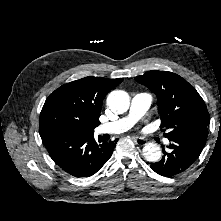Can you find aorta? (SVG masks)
<instances>
[{"label":"aorta","mask_w":221,"mask_h":221,"mask_svg":"<svg viewBox=\"0 0 221 221\" xmlns=\"http://www.w3.org/2000/svg\"><path fill=\"white\" fill-rule=\"evenodd\" d=\"M107 105L114 112L122 114L129 109L130 97L127 92L114 90L107 97ZM144 158L149 162H158L161 159V148L156 143H147L142 150Z\"/></svg>","instance_id":"762f6f07"}]
</instances>
